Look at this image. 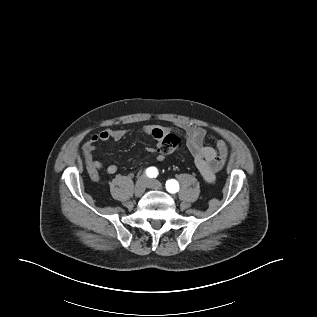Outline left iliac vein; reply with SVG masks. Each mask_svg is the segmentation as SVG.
Wrapping results in <instances>:
<instances>
[{
	"label": "left iliac vein",
	"instance_id": "1",
	"mask_svg": "<svg viewBox=\"0 0 317 317\" xmlns=\"http://www.w3.org/2000/svg\"><path fill=\"white\" fill-rule=\"evenodd\" d=\"M147 186L148 188L155 189V190L162 189V184L155 179H148Z\"/></svg>",
	"mask_w": 317,
	"mask_h": 317
}]
</instances>
